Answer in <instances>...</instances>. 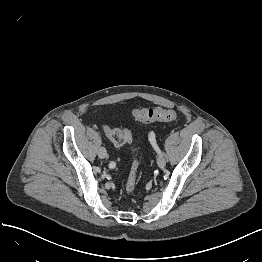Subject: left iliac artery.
Returning a JSON list of instances; mask_svg holds the SVG:
<instances>
[{"label":"left iliac artery","instance_id":"44dca946","mask_svg":"<svg viewBox=\"0 0 262 262\" xmlns=\"http://www.w3.org/2000/svg\"><path fill=\"white\" fill-rule=\"evenodd\" d=\"M158 153H160V149L158 147L155 148Z\"/></svg>","mask_w":262,"mask_h":262}]
</instances>
